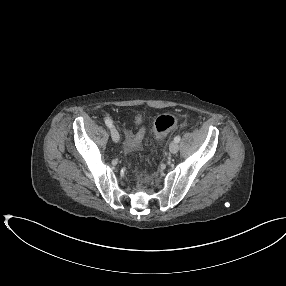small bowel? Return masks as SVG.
<instances>
[{
	"label": "small bowel",
	"mask_w": 286,
	"mask_h": 286,
	"mask_svg": "<svg viewBox=\"0 0 286 286\" xmlns=\"http://www.w3.org/2000/svg\"><path fill=\"white\" fill-rule=\"evenodd\" d=\"M125 135H126V138L128 139V138L131 137L133 134H132L131 131L126 130V131H125Z\"/></svg>",
	"instance_id": "1"
}]
</instances>
